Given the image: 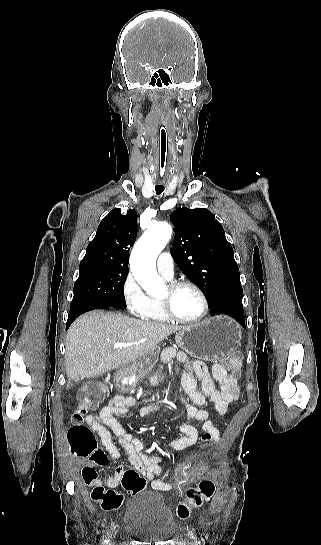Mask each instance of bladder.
I'll return each mask as SVG.
<instances>
[{"label": "bladder", "instance_id": "31cf9c89", "mask_svg": "<svg viewBox=\"0 0 321 545\" xmlns=\"http://www.w3.org/2000/svg\"><path fill=\"white\" fill-rule=\"evenodd\" d=\"M123 525L134 537L148 543L167 541L176 531L166 498L154 491L140 492L128 502Z\"/></svg>", "mask_w": 321, "mask_h": 545}]
</instances>
